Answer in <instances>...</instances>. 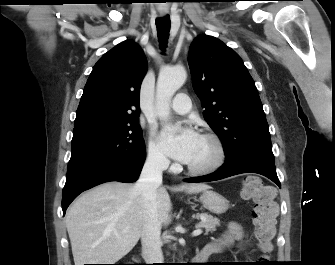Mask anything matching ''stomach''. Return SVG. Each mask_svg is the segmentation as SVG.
Returning <instances> with one entry per match:
<instances>
[{"instance_id":"0dacf381","label":"stomach","mask_w":335,"mask_h":265,"mask_svg":"<svg viewBox=\"0 0 335 265\" xmlns=\"http://www.w3.org/2000/svg\"><path fill=\"white\" fill-rule=\"evenodd\" d=\"M200 201L206 209L215 214H222L229 208L228 200L212 190H205L200 196Z\"/></svg>"}]
</instances>
